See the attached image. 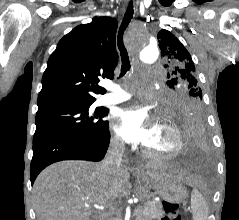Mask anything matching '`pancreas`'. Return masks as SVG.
<instances>
[{
  "instance_id": "obj_1",
  "label": "pancreas",
  "mask_w": 239,
  "mask_h": 220,
  "mask_svg": "<svg viewBox=\"0 0 239 220\" xmlns=\"http://www.w3.org/2000/svg\"><path fill=\"white\" fill-rule=\"evenodd\" d=\"M164 210L161 202H146L139 212L136 213V220H154L163 216Z\"/></svg>"
}]
</instances>
